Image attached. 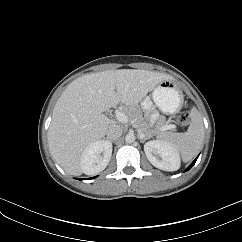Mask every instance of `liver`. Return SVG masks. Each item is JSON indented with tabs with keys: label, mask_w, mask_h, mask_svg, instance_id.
I'll use <instances>...</instances> for the list:
<instances>
[{
	"label": "liver",
	"mask_w": 242,
	"mask_h": 242,
	"mask_svg": "<svg viewBox=\"0 0 242 242\" xmlns=\"http://www.w3.org/2000/svg\"><path fill=\"white\" fill-rule=\"evenodd\" d=\"M171 76L155 71L120 69L87 74L74 80L56 102L48 130L54 160L69 174L80 175L81 154L115 124L103 114L122 103H138Z\"/></svg>",
	"instance_id": "6515ba94"
}]
</instances>
